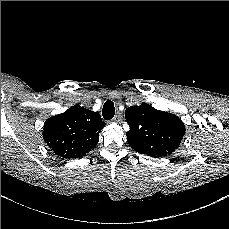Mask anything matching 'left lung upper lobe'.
<instances>
[{"label":"left lung upper lobe","instance_id":"obj_1","mask_svg":"<svg viewBox=\"0 0 229 229\" xmlns=\"http://www.w3.org/2000/svg\"><path fill=\"white\" fill-rule=\"evenodd\" d=\"M125 117L130 126L126 133L129 145L151 157L171 154L185 135L184 123L178 116L159 111L147 103L128 107Z\"/></svg>","mask_w":229,"mask_h":229}]
</instances>
